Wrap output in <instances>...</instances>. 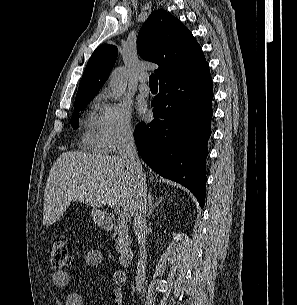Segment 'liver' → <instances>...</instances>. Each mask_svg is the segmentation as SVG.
<instances>
[{
    "label": "liver",
    "instance_id": "6515ba94",
    "mask_svg": "<svg viewBox=\"0 0 297 305\" xmlns=\"http://www.w3.org/2000/svg\"><path fill=\"white\" fill-rule=\"evenodd\" d=\"M151 180L154 179L151 170ZM135 181L121 156L64 152L54 162L44 191L43 225L59 220L72 201L100 208L124 207L133 214Z\"/></svg>",
    "mask_w": 297,
    "mask_h": 305
}]
</instances>
